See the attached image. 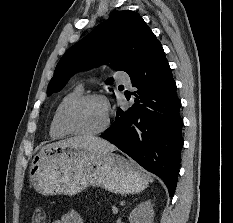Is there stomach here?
<instances>
[{
    "instance_id": "0dacf381",
    "label": "stomach",
    "mask_w": 233,
    "mask_h": 223,
    "mask_svg": "<svg viewBox=\"0 0 233 223\" xmlns=\"http://www.w3.org/2000/svg\"><path fill=\"white\" fill-rule=\"evenodd\" d=\"M30 181L42 195H77L86 187H104L113 193H140L149 183L136 163L112 151L43 145L34 155Z\"/></svg>"
}]
</instances>
